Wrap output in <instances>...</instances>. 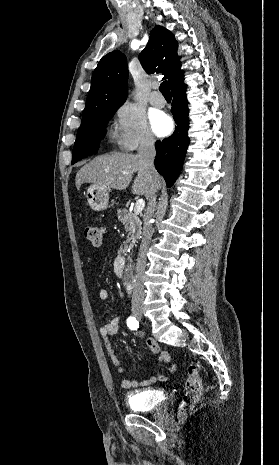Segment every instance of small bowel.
Returning a JSON list of instances; mask_svg holds the SVG:
<instances>
[{
  "mask_svg": "<svg viewBox=\"0 0 279 465\" xmlns=\"http://www.w3.org/2000/svg\"><path fill=\"white\" fill-rule=\"evenodd\" d=\"M96 296H97L98 300L105 301V300L108 299V291L105 288L100 287L96 291ZM119 327H120V318L115 317L111 321L103 324L100 327L99 331H100V334H101V336H102V338L104 340V346H105V349H106V351H107V353L109 355V358H110L112 364L115 366V368L117 369V371L119 373H123L124 368L121 365L120 359H119V357L117 355L116 350L113 347L112 340H111V337L118 332ZM140 336H142V335L140 334ZM145 342H146V345L149 348V350L152 353L158 355V359H157L158 362H165V363L170 362L171 358H170L169 353L162 352L160 350V347H159L158 343L154 339L146 338ZM159 380H162V376H160V377L150 376L149 378H147V379H145L143 381H140V382L136 381V380H131V379H128V378H124L121 381V387L123 389H126V390L133 389V388H138V387H147V386H150V385L156 383Z\"/></svg>",
  "mask_w": 279,
  "mask_h": 465,
  "instance_id": "obj_1",
  "label": "small bowel"
}]
</instances>
